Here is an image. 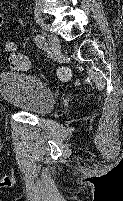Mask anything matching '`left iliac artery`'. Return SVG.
Wrapping results in <instances>:
<instances>
[{"instance_id":"44dca946","label":"left iliac artery","mask_w":123,"mask_h":201,"mask_svg":"<svg viewBox=\"0 0 123 201\" xmlns=\"http://www.w3.org/2000/svg\"><path fill=\"white\" fill-rule=\"evenodd\" d=\"M35 42H36V44H37L39 47H41V48H43V49L47 47L45 38H44V36H42V35H37V36L35 37Z\"/></svg>"}]
</instances>
